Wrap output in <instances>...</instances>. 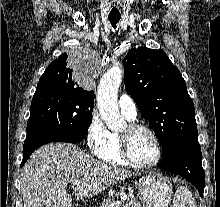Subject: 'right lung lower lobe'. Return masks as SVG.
<instances>
[{"label": "right lung lower lobe", "instance_id": "1", "mask_svg": "<svg viewBox=\"0 0 220 207\" xmlns=\"http://www.w3.org/2000/svg\"><path fill=\"white\" fill-rule=\"evenodd\" d=\"M86 134L83 133H62V132H49L32 134L26 137L23 146V160L21 167L30 157V155L40 146L50 142H69L77 143L84 139Z\"/></svg>", "mask_w": 220, "mask_h": 207}]
</instances>
